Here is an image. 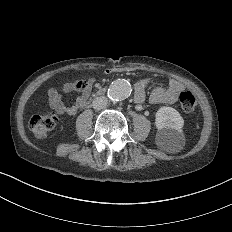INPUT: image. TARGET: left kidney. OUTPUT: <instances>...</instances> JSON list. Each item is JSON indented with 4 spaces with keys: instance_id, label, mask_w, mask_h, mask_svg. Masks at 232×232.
<instances>
[{
    "instance_id": "1",
    "label": "left kidney",
    "mask_w": 232,
    "mask_h": 232,
    "mask_svg": "<svg viewBox=\"0 0 232 232\" xmlns=\"http://www.w3.org/2000/svg\"><path fill=\"white\" fill-rule=\"evenodd\" d=\"M183 119L173 108L161 107L156 113V126L158 127V138H169L175 135L176 138L182 135Z\"/></svg>"
}]
</instances>
